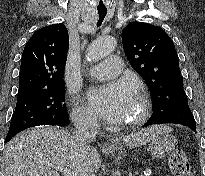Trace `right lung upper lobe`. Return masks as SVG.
<instances>
[{
	"label": "right lung upper lobe",
	"mask_w": 205,
	"mask_h": 176,
	"mask_svg": "<svg viewBox=\"0 0 205 176\" xmlns=\"http://www.w3.org/2000/svg\"><path fill=\"white\" fill-rule=\"evenodd\" d=\"M68 47V31L63 24L37 30L22 54L18 94L64 84Z\"/></svg>",
	"instance_id": "obj_1"
}]
</instances>
